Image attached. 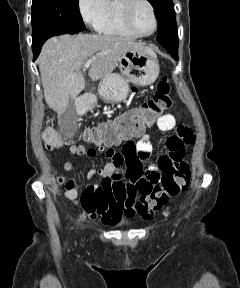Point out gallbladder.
<instances>
[{"label": "gallbladder", "instance_id": "gallbladder-1", "mask_svg": "<svg viewBox=\"0 0 240 288\" xmlns=\"http://www.w3.org/2000/svg\"><path fill=\"white\" fill-rule=\"evenodd\" d=\"M75 116V108L72 101L69 103L68 109L62 114L61 118L63 120V124H68V122Z\"/></svg>", "mask_w": 240, "mask_h": 288}]
</instances>
